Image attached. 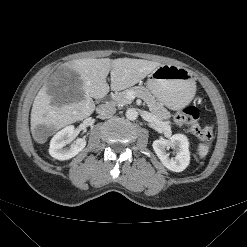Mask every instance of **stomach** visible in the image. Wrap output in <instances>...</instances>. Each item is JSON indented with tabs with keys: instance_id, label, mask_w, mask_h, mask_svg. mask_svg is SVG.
I'll use <instances>...</instances> for the list:
<instances>
[{
	"instance_id": "obj_1",
	"label": "stomach",
	"mask_w": 247,
	"mask_h": 247,
	"mask_svg": "<svg viewBox=\"0 0 247 247\" xmlns=\"http://www.w3.org/2000/svg\"><path fill=\"white\" fill-rule=\"evenodd\" d=\"M147 88L172 110L188 105L196 90L195 80L188 69L168 64L158 66L148 75Z\"/></svg>"
}]
</instances>
